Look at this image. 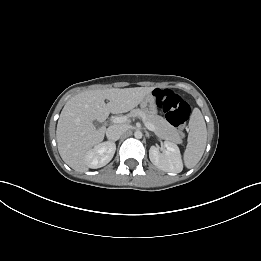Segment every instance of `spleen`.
Segmentation results:
<instances>
[{"instance_id": "3e777b00", "label": "spleen", "mask_w": 261, "mask_h": 261, "mask_svg": "<svg viewBox=\"0 0 261 261\" xmlns=\"http://www.w3.org/2000/svg\"><path fill=\"white\" fill-rule=\"evenodd\" d=\"M189 127L190 132L184 152V163L187 168H192L200 161L207 142L206 124L199 109H194Z\"/></svg>"}]
</instances>
